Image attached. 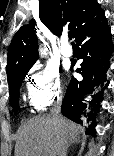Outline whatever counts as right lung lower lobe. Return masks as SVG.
Returning a JSON list of instances; mask_svg holds the SVG:
<instances>
[{"label":"right lung lower lobe","instance_id":"obj_1","mask_svg":"<svg viewBox=\"0 0 114 156\" xmlns=\"http://www.w3.org/2000/svg\"><path fill=\"white\" fill-rule=\"evenodd\" d=\"M75 42L81 46L79 58L83 59L81 68H78L76 72L80 73L83 79L78 81L72 78L61 112L76 123L87 124L86 133L95 137L94 114L99 111L103 91L108 86V83L104 84V82L113 52L110 28L102 9L80 30L75 37ZM91 93H93V100L86 102L85 96Z\"/></svg>","mask_w":114,"mask_h":156}]
</instances>
